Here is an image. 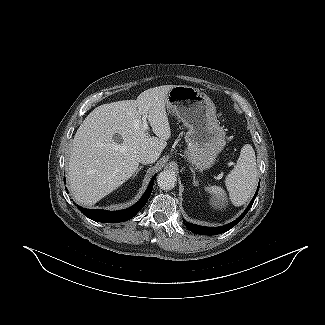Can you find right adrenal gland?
Returning <instances> with one entry per match:
<instances>
[{"label": "right adrenal gland", "instance_id": "right-adrenal-gland-1", "mask_svg": "<svg viewBox=\"0 0 325 325\" xmlns=\"http://www.w3.org/2000/svg\"><path fill=\"white\" fill-rule=\"evenodd\" d=\"M143 167H144V166H140V167L136 170V172H135L133 178H134L135 176H137V174L139 173V171H140Z\"/></svg>", "mask_w": 325, "mask_h": 325}]
</instances>
